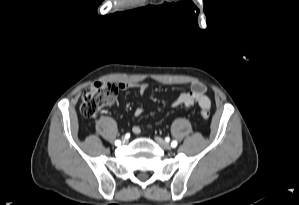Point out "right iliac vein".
Masks as SVG:
<instances>
[{
    "label": "right iliac vein",
    "mask_w": 299,
    "mask_h": 205,
    "mask_svg": "<svg viewBox=\"0 0 299 205\" xmlns=\"http://www.w3.org/2000/svg\"><path fill=\"white\" fill-rule=\"evenodd\" d=\"M127 142V139L126 138H123L122 139V143H126Z\"/></svg>",
    "instance_id": "obj_1"
}]
</instances>
